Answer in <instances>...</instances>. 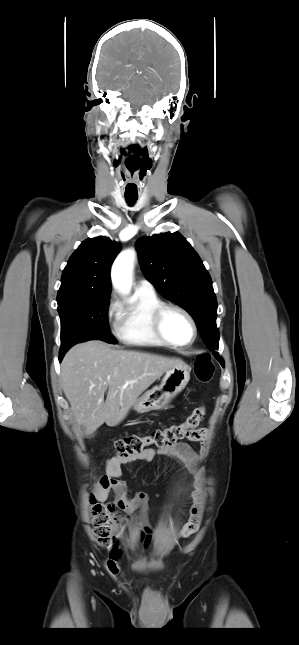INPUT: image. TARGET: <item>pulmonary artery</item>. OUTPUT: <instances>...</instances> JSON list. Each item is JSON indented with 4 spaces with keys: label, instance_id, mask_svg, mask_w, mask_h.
<instances>
[{
    "label": "pulmonary artery",
    "instance_id": "1",
    "mask_svg": "<svg viewBox=\"0 0 299 645\" xmlns=\"http://www.w3.org/2000/svg\"><path fill=\"white\" fill-rule=\"evenodd\" d=\"M135 290L145 292V293H155L153 284L145 279L139 280L137 282L135 286Z\"/></svg>",
    "mask_w": 299,
    "mask_h": 645
}]
</instances>
